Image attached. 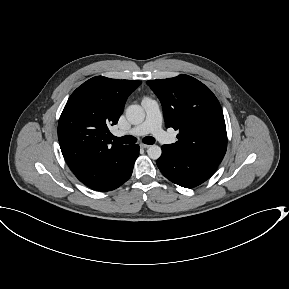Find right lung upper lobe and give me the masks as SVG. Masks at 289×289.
I'll return each instance as SVG.
<instances>
[{"mask_svg":"<svg viewBox=\"0 0 289 289\" xmlns=\"http://www.w3.org/2000/svg\"><path fill=\"white\" fill-rule=\"evenodd\" d=\"M141 81L96 76L79 86L68 99L58 123L61 152L75 176L97 188L116 173L129 145L112 143L115 125L128 96Z\"/></svg>","mask_w":289,"mask_h":289,"instance_id":"obj_1","label":"right lung upper lobe"}]
</instances>
